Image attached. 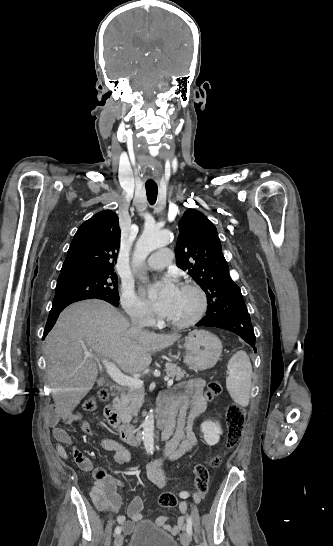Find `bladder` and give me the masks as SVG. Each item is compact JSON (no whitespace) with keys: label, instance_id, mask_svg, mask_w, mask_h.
Wrapping results in <instances>:
<instances>
[{"label":"bladder","instance_id":"bladder-1","mask_svg":"<svg viewBox=\"0 0 333 546\" xmlns=\"http://www.w3.org/2000/svg\"><path fill=\"white\" fill-rule=\"evenodd\" d=\"M127 546H179L177 540L151 522L142 521L134 527Z\"/></svg>","mask_w":333,"mask_h":546}]
</instances>
